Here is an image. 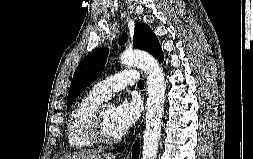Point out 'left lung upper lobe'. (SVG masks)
<instances>
[{
  "label": "left lung upper lobe",
  "mask_w": 253,
  "mask_h": 159,
  "mask_svg": "<svg viewBox=\"0 0 253 159\" xmlns=\"http://www.w3.org/2000/svg\"><path fill=\"white\" fill-rule=\"evenodd\" d=\"M127 41V34H123L119 43ZM135 47L145 50L163 62L164 55L159 41L151 28L143 22L136 24L134 29ZM108 55V48H101L88 55L75 70L67 97V109H69L75 98L93 81H95L104 69Z\"/></svg>",
  "instance_id": "obj_1"
}]
</instances>
